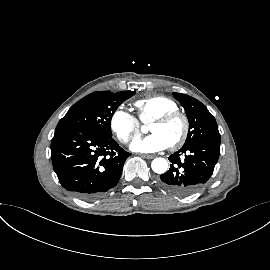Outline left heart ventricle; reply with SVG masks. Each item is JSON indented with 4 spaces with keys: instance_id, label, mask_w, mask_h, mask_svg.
<instances>
[{
    "instance_id": "1",
    "label": "left heart ventricle",
    "mask_w": 270,
    "mask_h": 270,
    "mask_svg": "<svg viewBox=\"0 0 270 270\" xmlns=\"http://www.w3.org/2000/svg\"><path fill=\"white\" fill-rule=\"evenodd\" d=\"M149 131L160 135L168 145H171L181 136L183 122L180 118H175L165 124H151Z\"/></svg>"
}]
</instances>
